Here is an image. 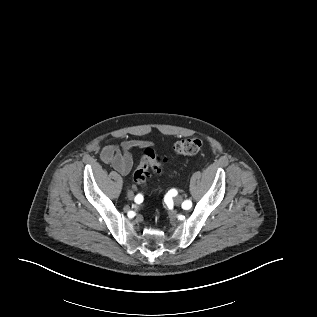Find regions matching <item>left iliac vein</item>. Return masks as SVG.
<instances>
[{
    "instance_id": "obj_1",
    "label": "left iliac vein",
    "mask_w": 317,
    "mask_h": 317,
    "mask_svg": "<svg viewBox=\"0 0 317 317\" xmlns=\"http://www.w3.org/2000/svg\"><path fill=\"white\" fill-rule=\"evenodd\" d=\"M173 201L176 205H180L183 201V198L180 195H177L174 197Z\"/></svg>"
}]
</instances>
